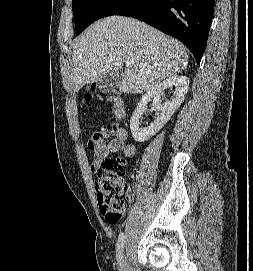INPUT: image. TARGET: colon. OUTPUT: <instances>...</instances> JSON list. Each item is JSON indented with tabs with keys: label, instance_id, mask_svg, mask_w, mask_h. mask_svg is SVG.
Instances as JSON below:
<instances>
[{
	"label": "colon",
	"instance_id": "colon-1",
	"mask_svg": "<svg viewBox=\"0 0 253 271\" xmlns=\"http://www.w3.org/2000/svg\"><path fill=\"white\" fill-rule=\"evenodd\" d=\"M92 99L109 102L118 118L124 116V105L119 94H106L98 87L91 86L85 92L84 100L91 101ZM124 175L125 162L119 157L103 159L97 171L95 185L97 199L107 222L110 224H116L120 221L134 195L133 187L124 183Z\"/></svg>",
	"mask_w": 253,
	"mask_h": 271
}]
</instances>
